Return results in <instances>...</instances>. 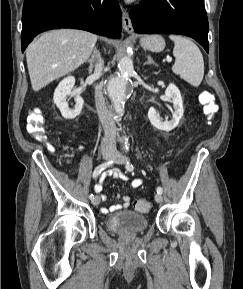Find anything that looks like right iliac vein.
Here are the masks:
<instances>
[{
  "mask_svg": "<svg viewBox=\"0 0 243 289\" xmlns=\"http://www.w3.org/2000/svg\"><path fill=\"white\" fill-rule=\"evenodd\" d=\"M103 155V158L105 160H110L112 157H113V154L111 152H108V151H105L102 153ZM91 202L94 206H97L99 203H100V197L99 196H94L92 199H91Z\"/></svg>",
  "mask_w": 243,
  "mask_h": 289,
  "instance_id": "63e3f726",
  "label": "right iliac vein"
}]
</instances>
